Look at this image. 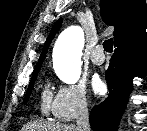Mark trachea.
<instances>
[{"label": "trachea", "mask_w": 147, "mask_h": 131, "mask_svg": "<svg viewBox=\"0 0 147 131\" xmlns=\"http://www.w3.org/2000/svg\"><path fill=\"white\" fill-rule=\"evenodd\" d=\"M103 48L106 52H112L113 51V38L105 40L103 42Z\"/></svg>", "instance_id": "3493384b"}]
</instances>
